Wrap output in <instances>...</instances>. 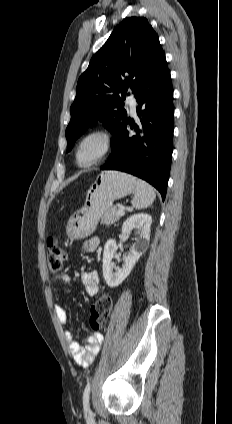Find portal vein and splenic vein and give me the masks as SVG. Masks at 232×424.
I'll return each instance as SVG.
<instances>
[{
  "mask_svg": "<svg viewBox=\"0 0 232 424\" xmlns=\"http://www.w3.org/2000/svg\"><path fill=\"white\" fill-rule=\"evenodd\" d=\"M125 214L124 209H119L118 215L123 216Z\"/></svg>",
  "mask_w": 232,
  "mask_h": 424,
  "instance_id": "portal-vein-and-splenic-vein-1",
  "label": "portal vein and splenic vein"
}]
</instances>
